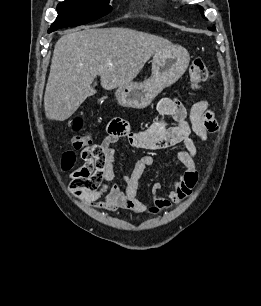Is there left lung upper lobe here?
Returning <instances> with one entry per match:
<instances>
[{
	"mask_svg": "<svg viewBox=\"0 0 261 306\" xmlns=\"http://www.w3.org/2000/svg\"><path fill=\"white\" fill-rule=\"evenodd\" d=\"M199 9L201 11L202 16L205 18V16H204V9L202 7H199ZM209 30L214 31L215 27L209 28Z\"/></svg>",
	"mask_w": 261,
	"mask_h": 306,
	"instance_id": "left-lung-upper-lobe-1",
	"label": "left lung upper lobe"
}]
</instances>
